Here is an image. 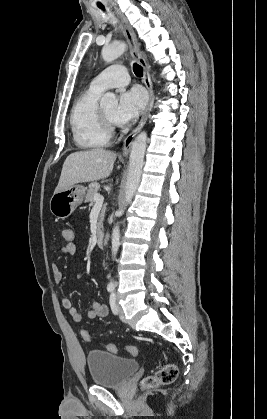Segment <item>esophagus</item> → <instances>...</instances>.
Masks as SVG:
<instances>
[{"label":"esophagus","mask_w":267,"mask_h":419,"mask_svg":"<svg viewBox=\"0 0 267 419\" xmlns=\"http://www.w3.org/2000/svg\"><path fill=\"white\" fill-rule=\"evenodd\" d=\"M116 13H117V15L120 19L125 37H126L128 43H129V45L131 46L132 53H133V55L136 56L139 64L143 68L144 83H145V85L148 89V92H149V102H148L147 108H146L145 112L143 113V116H142L138 126L124 140L121 155L123 157H126V156H128V154L131 150V146H132V143H133V140H134L135 136L139 133V131L142 129V127L146 123L148 113H149V111L152 107V103H153L154 90H153V84H152V80H151V76H150V68L147 65L146 60H145V58L143 57V55L140 51V47H139L138 41L136 39L135 33H134L132 27L130 26V24L128 23L127 19L125 18V16L119 10H116Z\"/></svg>","instance_id":"esophagus-1"}]
</instances>
